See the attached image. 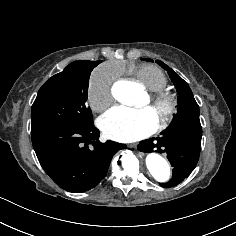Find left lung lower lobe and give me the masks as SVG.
I'll return each mask as SVG.
<instances>
[{
    "mask_svg": "<svg viewBox=\"0 0 236 236\" xmlns=\"http://www.w3.org/2000/svg\"><path fill=\"white\" fill-rule=\"evenodd\" d=\"M201 127L170 125L161 137L141 141L138 150L142 152H165L173 167L172 178L160 186L169 188L181 183L196 167L201 150Z\"/></svg>",
    "mask_w": 236,
    "mask_h": 236,
    "instance_id": "0a47b994",
    "label": "left lung lower lobe"
}]
</instances>
